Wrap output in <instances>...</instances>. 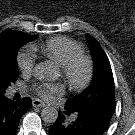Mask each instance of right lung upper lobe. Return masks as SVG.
I'll return each instance as SVG.
<instances>
[{"label": "right lung upper lobe", "mask_w": 135, "mask_h": 135, "mask_svg": "<svg viewBox=\"0 0 135 135\" xmlns=\"http://www.w3.org/2000/svg\"><path fill=\"white\" fill-rule=\"evenodd\" d=\"M7 32H9V31H5V32L0 33V38L3 37L4 35H6ZM0 53H1V52H0Z\"/></svg>", "instance_id": "1"}]
</instances>
